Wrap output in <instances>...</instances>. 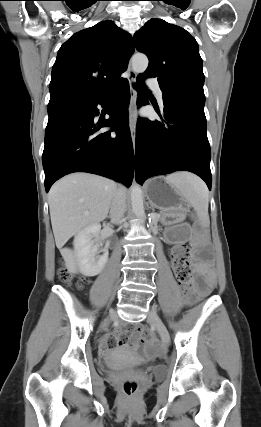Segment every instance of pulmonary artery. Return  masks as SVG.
I'll return each mask as SVG.
<instances>
[{
  "label": "pulmonary artery",
  "instance_id": "pulmonary-artery-1",
  "mask_svg": "<svg viewBox=\"0 0 261 427\" xmlns=\"http://www.w3.org/2000/svg\"><path fill=\"white\" fill-rule=\"evenodd\" d=\"M147 85L154 90L158 102L160 103V105H162L163 104V93L161 91V88H160L158 82L154 79H149V80H147Z\"/></svg>",
  "mask_w": 261,
  "mask_h": 427
}]
</instances>
